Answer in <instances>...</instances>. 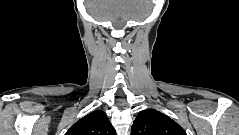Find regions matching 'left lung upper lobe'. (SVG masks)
Masks as SVG:
<instances>
[{
	"mask_svg": "<svg viewBox=\"0 0 239 135\" xmlns=\"http://www.w3.org/2000/svg\"><path fill=\"white\" fill-rule=\"evenodd\" d=\"M131 135H187L174 120L154 109H146L137 115Z\"/></svg>",
	"mask_w": 239,
	"mask_h": 135,
	"instance_id": "obj_1",
	"label": "left lung upper lobe"
}]
</instances>
